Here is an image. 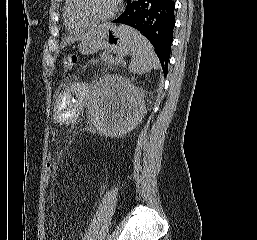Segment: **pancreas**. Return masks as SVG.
<instances>
[{
    "mask_svg": "<svg viewBox=\"0 0 257 240\" xmlns=\"http://www.w3.org/2000/svg\"><path fill=\"white\" fill-rule=\"evenodd\" d=\"M117 58H119V57H117ZM117 58L114 59L113 56L109 52H104L101 55V60L104 61L108 65L118 64L119 62H118Z\"/></svg>",
    "mask_w": 257,
    "mask_h": 240,
    "instance_id": "pancreas-1",
    "label": "pancreas"
}]
</instances>
